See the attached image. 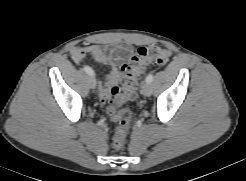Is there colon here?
I'll return each instance as SVG.
<instances>
[{
	"instance_id": "colon-1",
	"label": "colon",
	"mask_w": 246,
	"mask_h": 181,
	"mask_svg": "<svg viewBox=\"0 0 246 181\" xmlns=\"http://www.w3.org/2000/svg\"><path fill=\"white\" fill-rule=\"evenodd\" d=\"M170 57V51L160 45L141 47L122 67V85L109 89L105 102L111 119L117 123L113 136V147L117 150L124 145L125 137L130 125L131 115L128 109L120 107L136 98L138 82L150 65H164Z\"/></svg>"
}]
</instances>
